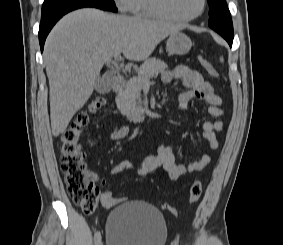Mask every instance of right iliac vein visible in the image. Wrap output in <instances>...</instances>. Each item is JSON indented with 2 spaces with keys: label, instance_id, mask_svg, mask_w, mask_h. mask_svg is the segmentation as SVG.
Listing matches in <instances>:
<instances>
[{
  "label": "right iliac vein",
  "instance_id": "obj_1",
  "mask_svg": "<svg viewBox=\"0 0 283 245\" xmlns=\"http://www.w3.org/2000/svg\"><path fill=\"white\" fill-rule=\"evenodd\" d=\"M98 245H102V242L100 241V242L98 243Z\"/></svg>",
  "mask_w": 283,
  "mask_h": 245
}]
</instances>
